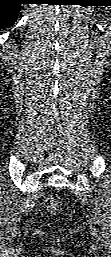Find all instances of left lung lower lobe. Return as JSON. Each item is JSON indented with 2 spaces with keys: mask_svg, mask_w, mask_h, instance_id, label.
I'll list each match as a JSON object with an SVG mask.
<instances>
[{
  "mask_svg": "<svg viewBox=\"0 0 111 257\" xmlns=\"http://www.w3.org/2000/svg\"><path fill=\"white\" fill-rule=\"evenodd\" d=\"M102 2L106 3L105 6H111V0H103Z\"/></svg>",
  "mask_w": 111,
  "mask_h": 257,
  "instance_id": "0a47b994",
  "label": "left lung lower lobe"
}]
</instances>
